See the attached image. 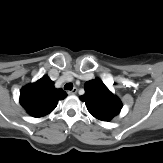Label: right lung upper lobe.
Here are the masks:
<instances>
[{
  "instance_id": "cb5924a9",
  "label": "right lung upper lobe",
  "mask_w": 163,
  "mask_h": 163,
  "mask_svg": "<svg viewBox=\"0 0 163 163\" xmlns=\"http://www.w3.org/2000/svg\"><path fill=\"white\" fill-rule=\"evenodd\" d=\"M66 97L67 93L63 89H56L54 82L48 76H43L21 89L20 104L31 116L42 117L54 110L58 101Z\"/></svg>"
}]
</instances>
